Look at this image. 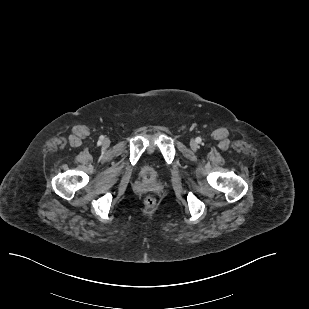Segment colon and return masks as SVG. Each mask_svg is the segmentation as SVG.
I'll use <instances>...</instances> for the list:
<instances>
[{
    "mask_svg": "<svg viewBox=\"0 0 309 309\" xmlns=\"http://www.w3.org/2000/svg\"><path fill=\"white\" fill-rule=\"evenodd\" d=\"M144 204L148 208H153L156 205V199L154 197L148 196L145 198Z\"/></svg>",
    "mask_w": 309,
    "mask_h": 309,
    "instance_id": "1",
    "label": "colon"
}]
</instances>
